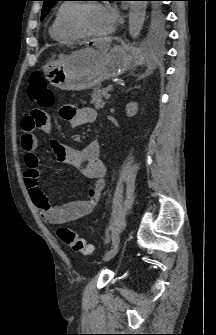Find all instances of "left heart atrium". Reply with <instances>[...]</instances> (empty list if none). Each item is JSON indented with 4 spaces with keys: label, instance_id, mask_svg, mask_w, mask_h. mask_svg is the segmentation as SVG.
Listing matches in <instances>:
<instances>
[{
    "label": "left heart atrium",
    "instance_id": "left-heart-atrium-1",
    "mask_svg": "<svg viewBox=\"0 0 216 335\" xmlns=\"http://www.w3.org/2000/svg\"><path fill=\"white\" fill-rule=\"evenodd\" d=\"M103 9L111 29L117 20L118 12L116 8L111 5H107Z\"/></svg>",
    "mask_w": 216,
    "mask_h": 335
}]
</instances>
